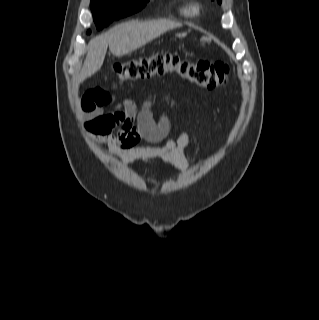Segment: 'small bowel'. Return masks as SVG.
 I'll list each match as a JSON object with an SVG mask.
<instances>
[{
	"label": "small bowel",
	"mask_w": 319,
	"mask_h": 320,
	"mask_svg": "<svg viewBox=\"0 0 319 320\" xmlns=\"http://www.w3.org/2000/svg\"><path fill=\"white\" fill-rule=\"evenodd\" d=\"M111 103L112 96L107 91L102 88H93L83 96L81 105L86 117L85 130L96 141L104 143L110 155L119 157L129 164L160 159L176 171L181 172L187 168L188 160L185 150L194 136L191 131L178 130L174 138L167 140L161 146L128 145L121 132H112L123 119H129L131 122L146 121L168 132V117L163 115L159 121H154L149 111V101L144 103L141 111L130 99L120 102L113 109L107 108Z\"/></svg>",
	"instance_id": "c3829d8e"
}]
</instances>
